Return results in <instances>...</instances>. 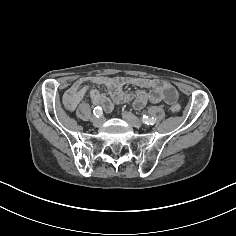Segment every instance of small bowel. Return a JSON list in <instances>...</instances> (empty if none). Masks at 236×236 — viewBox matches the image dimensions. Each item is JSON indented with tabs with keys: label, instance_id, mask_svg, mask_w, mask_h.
<instances>
[{
	"label": "small bowel",
	"instance_id": "1",
	"mask_svg": "<svg viewBox=\"0 0 236 236\" xmlns=\"http://www.w3.org/2000/svg\"><path fill=\"white\" fill-rule=\"evenodd\" d=\"M89 81L105 86L109 95L97 89H91L86 85V80H77L66 90L63 97L64 103L69 110H73L86 93H89L90 99L95 106L110 112L115 103L124 102L130 98L129 95L123 92V87L126 85L140 88L132 96L136 109L143 108L147 103L159 104L165 102L173 104L178 98L177 91L172 84L157 79L129 76H93Z\"/></svg>",
	"mask_w": 236,
	"mask_h": 236
}]
</instances>
